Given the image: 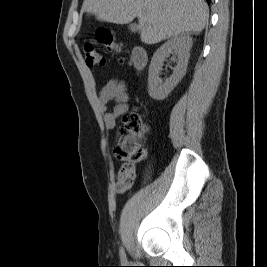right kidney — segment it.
Returning <instances> with one entry per match:
<instances>
[{
    "label": "right kidney",
    "mask_w": 267,
    "mask_h": 267,
    "mask_svg": "<svg viewBox=\"0 0 267 267\" xmlns=\"http://www.w3.org/2000/svg\"><path fill=\"white\" fill-rule=\"evenodd\" d=\"M192 38L189 35L174 36L165 42L154 53L148 72V93L154 100H164L186 74L187 64L192 47ZM170 54L177 56V65L172 75L164 82L159 77L162 66Z\"/></svg>",
    "instance_id": "obj_1"
}]
</instances>
